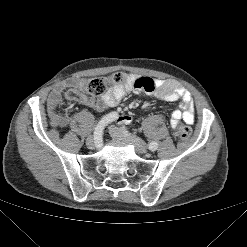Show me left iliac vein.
I'll return each mask as SVG.
<instances>
[{"label":"left iliac vein","mask_w":247,"mask_h":247,"mask_svg":"<svg viewBox=\"0 0 247 247\" xmlns=\"http://www.w3.org/2000/svg\"><path fill=\"white\" fill-rule=\"evenodd\" d=\"M109 131L113 138L133 144L138 153L145 154L147 152V148L140 138L127 135L114 126H110Z\"/></svg>","instance_id":"obj_1"}]
</instances>
